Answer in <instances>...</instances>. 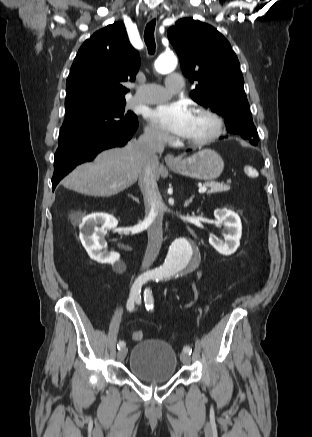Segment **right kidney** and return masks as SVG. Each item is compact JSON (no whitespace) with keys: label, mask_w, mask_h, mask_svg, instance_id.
<instances>
[{"label":"right kidney","mask_w":312,"mask_h":437,"mask_svg":"<svg viewBox=\"0 0 312 437\" xmlns=\"http://www.w3.org/2000/svg\"><path fill=\"white\" fill-rule=\"evenodd\" d=\"M101 225V227H99ZM118 225L117 219L105 213H93L83 218L80 224V240L90 258L98 263H110L114 267L124 266L114 255L103 251L107 243L105 234L107 230Z\"/></svg>","instance_id":"right-kidney-1"}]
</instances>
